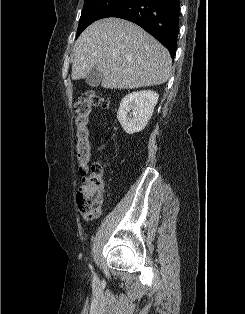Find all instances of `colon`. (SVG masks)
I'll return each instance as SVG.
<instances>
[{
    "instance_id": "colon-1",
    "label": "colon",
    "mask_w": 245,
    "mask_h": 314,
    "mask_svg": "<svg viewBox=\"0 0 245 314\" xmlns=\"http://www.w3.org/2000/svg\"><path fill=\"white\" fill-rule=\"evenodd\" d=\"M108 106L103 97L93 90L87 91L75 104V158L82 175L77 193V205L82 218L89 222L99 216L104 189V171L100 161L91 163L90 116L94 107Z\"/></svg>"
}]
</instances>
